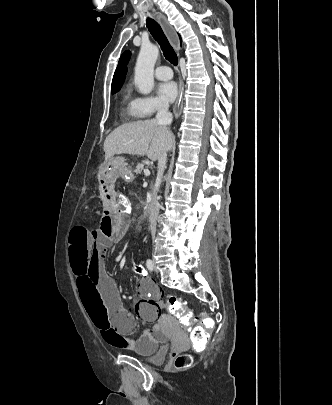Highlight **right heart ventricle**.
<instances>
[{"label": "right heart ventricle", "mask_w": 332, "mask_h": 405, "mask_svg": "<svg viewBox=\"0 0 332 405\" xmlns=\"http://www.w3.org/2000/svg\"><path fill=\"white\" fill-rule=\"evenodd\" d=\"M122 114L128 121H135L141 118L137 106L136 98L131 94L129 88H126L121 99Z\"/></svg>", "instance_id": "obj_1"}]
</instances>
